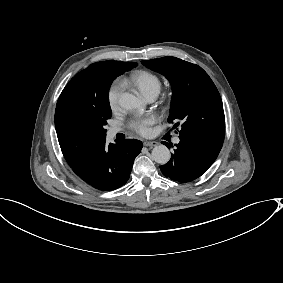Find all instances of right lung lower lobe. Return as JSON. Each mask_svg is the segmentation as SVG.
Here are the masks:
<instances>
[{
  "mask_svg": "<svg viewBox=\"0 0 283 283\" xmlns=\"http://www.w3.org/2000/svg\"><path fill=\"white\" fill-rule=\"evenodd\" d=\"M136 139L117 141L109 146L102 144L73 171L92 187L109 191L124 185L129 179L135 157L142 149Z\"/></svg>",
  "mask_w": 283,
  "mask_h": 283,
  "instance_id": "1",
  "label": "right lung lower lobe"
}]
</instances>
